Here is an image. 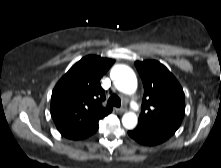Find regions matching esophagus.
Masks as SVG:
<instances>
[{"mask_svg": "<svg viewBox=\"0 0 221 168\" xmlns=\"http://www.w3.org/2000/svg\"><path fill=\"white\" fill-rule=\"evenodd\" d=\"M116 111H117L118 113H124V112H126V111H127V109H126V104H123V106H122L121 108H117Z\"/></svg>", "mask_w": 221, "mask_h": 168, "instance_id": "obj_1", "label": "esophagus"}]
</instances>
